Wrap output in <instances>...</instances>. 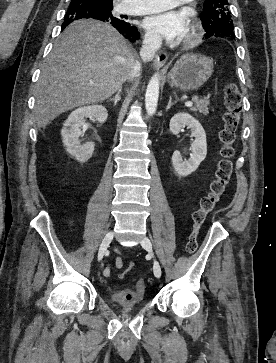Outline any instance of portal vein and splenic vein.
Wrapping results in <instances>:
<instances>
[{"mask_svg": "<svg viewBox=\"0 0 276 363\" xmlns=\"http://www.w3.org/2000/svg\"><path fill=\"white\" fill-rule=\"evenodd\" d=\"M185 106H187V107H191V106H193V102H192V101H187V102L185 103Z\"/></svg>", "mask_w": 276, "mask_h": 363, "instance_id": "1", "label": "portal vein and splenic vein"}]
</instances>
